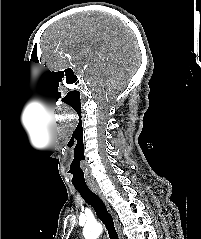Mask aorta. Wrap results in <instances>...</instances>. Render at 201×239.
Masks as SVG:
<instances>
[{
    "label": "aorta",
    "instance_id": "1",
    "mask_svg": "<svg viewBox=\"0 0 201 239\" xmlns=\"http://www.w3.org/2000/svg\"><path fill=\"white\" fill-rule=\"evenodd\" d=\"M103 231L102 225L95 222L86 224L83 229L85 239H97Z\"/></svg>",
    "mask_w": 201,
    "mask_h": 239
}]
</instances>
